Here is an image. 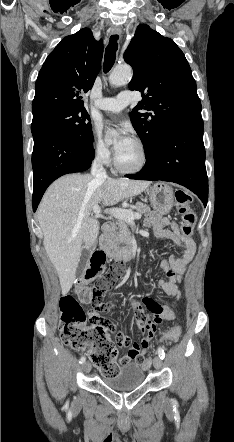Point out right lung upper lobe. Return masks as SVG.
<instances>
[{
	"mask_svg": "<svg viewBox=\"0 0 234 442\" xmlns=\"http://www.w3.org/2000/svg\"><path fill=\"white\" fill-rule=\"evenodd\" d=\"M102 54V41H96L88 28L61 40L36 80L33 116L54 109L84 108L80 95L92 88Z\"/></svg>",
	"mask_w": 234,
	"mask_h": 442,
	"instance_id": "right-lung-upper-lobe-1",
	"label": "right lung upper lobe"
}]
</instances>
